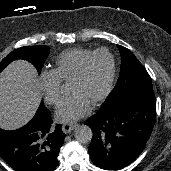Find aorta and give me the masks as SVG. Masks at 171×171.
<instances>
[{
  "label": "aorta",
  "instance_id": "obj_1",
  "mask_svg": "<svg viewBox=\"0 0 171 171\" xmlns=\"http://www.w3.org/2000/svg\"><path fill=\"white\" fill-rule=\"evenodd\" d=\"M92 129L87 125H79L74 130V137L81 144L89 143L92 140Z\"/></svg>",
  "mask_w": 171,
  "mask_h": 171
}]
</instances>
